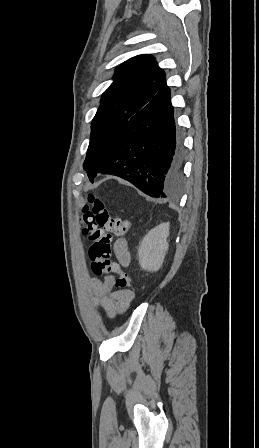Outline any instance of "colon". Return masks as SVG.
<instances>
[{
    "label": "colon",
    "mask_w": 259,
    "mask_h": 448,
    "mask_svg": "<svg viewBox=\"0 0 259 448\" xmlns=\"http://www.w3.org/2000/svg\"><path fill=\"white\" fill-rule=\"evenodd\" d=\"M80 223L83 234L91 242L89 256L93 272L96 275L113 274L116 276L117 288H128L131 282L130 276L111 259V256L113 236L126 235L132 226L131 221L121 216H110L104 209L102 201L89 194L87 204L81 211Z\"/></svg>",
    "instance_id": "colon-1"
}]
</instances>
